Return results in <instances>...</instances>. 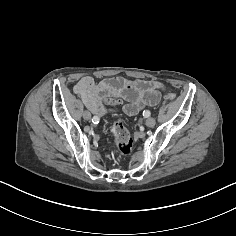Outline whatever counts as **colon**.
Instances as JSON below:
<instances>
[{"instance_id":"obj_1","label":"colon","mask_w":236,"mask_h":236,"mask_svg":"<svg viewBox=\"0 0 236 236\" xmlns=\"http://www.w3.org/2000/svg\"><path fill=\"white\" fill-rule=\"evenodd\" d=\"M165 98L169 102H175L177 100V94L174 92H168ZM107 103H117L118 100L114 97H106ZM111 133L114 137L115 147L117 151L124 156H128L133 151L134 141L133 138L121 120H115L111 125Z\"/></svg>"}]
</instances>
